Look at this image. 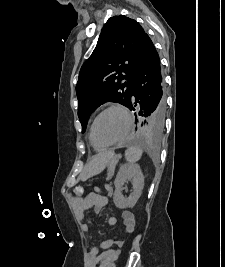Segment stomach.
Segmentation results:
<instances>
[{"label": "stomach", "instance_id": "stomach-1", "mask_svg": "<svg viewBox=\"0 0 225 267\" xmlns=\"http://www.w3.org/2000/svg\"><path fill=\"white\" fill-rule=\"evenodd\" d=\"M114 159L112 153H102L97 155L95 158L92 159L88 166V175L93 176L101 171L109 164V162Z\"/></svg>", "mask_w": 225, "mask_h": 267}]
</instances>
